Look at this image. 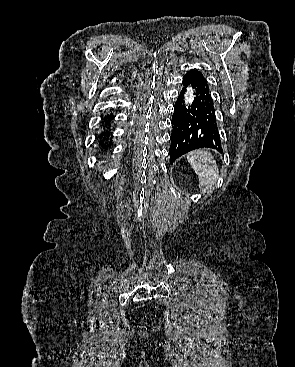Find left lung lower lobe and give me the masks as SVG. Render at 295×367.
Segmentation results:
<instances>
[{"instance_id": "obj_1", "label": "left lung lower lobe", "mask_w": 295, "mask_h": 367, "mask_svg": "<svg viewBox=\"0 0 295 367\" xmlns=\"http://www.w3.org/2000/svg\"><path fill=\"white\" fill-rule=\"evenodd\" d=\"M185 86L178 97L172 116L171 163L183 154L198 148H212L222 152L217 128L216 109L210 89L203 74L197 70L188 71L183 77ZM192 87L195 98L192 104H185L186 87Z\"/></svg>"}]
</instances>
